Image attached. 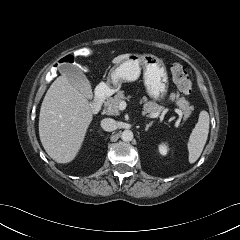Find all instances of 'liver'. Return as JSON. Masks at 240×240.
Listing matches in <instances>:
<instances>
[{
	"mask_svg": "<svg viewBox=\"0 0 240 240\" xmlns=\"http://www.w3.org/2000/svg\"><path fill=\"white\" fill-rule=\"evenodd\" d=\"M129 55H119L112 63L119 64ZM92 119L87 97L62 73L51 84L40 109L39 136L47 154L57 163L71 162L82 146Z\"/></svg>",
	"mask_w": 240,
	"mask_h": 240,
	"instance_id": "1",
	"label": "liver"
}]
</instances>
